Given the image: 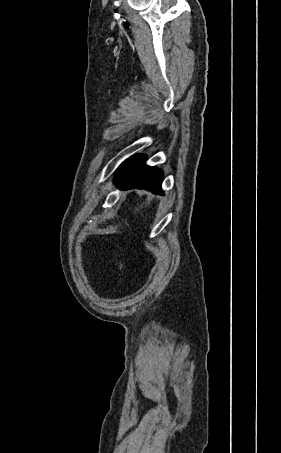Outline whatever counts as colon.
Wrapping results in <instances>:
<instances>
[{
    "label": "colon",
    "instance_id": "obj_1",
    "mask_svg": "<svg viewBox=\"0 0 281 453\" xmlns=\"http://www.w3.org/2000/svg\"><path fill=\"white\" fill-rule=\"evenodd\" d=\"M125 268V255L124 252L119 249L116 252V259H115V273L117 275L121 274Z\"/></svg>",
    "mask_w": 281,
    "mask_h": 453
}]
</instances>
